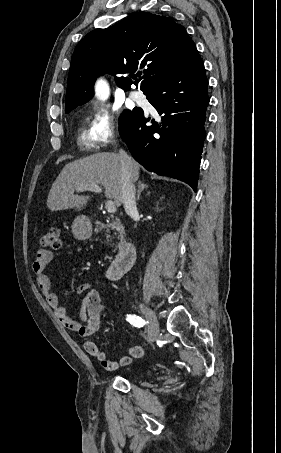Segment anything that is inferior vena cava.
Returning <instances> with one entry per match:
<instances>
[{
	"label": "inferior vena cava",
	"mask_w": 281,
	"mask_h": 453,
	"mask_svg": "<svg viewBox=\"0 0 281 453\" xmlns=\"http://www.w3.org/2000/svg\"><path fill=\"white\" fill-rule=\"evenodd\" d=\"M119 156L121 158V188H122V202L124 204L125 212L133 216L138 214L136 200H135V186L130 178L128 162L130 160L127 152L120 148Z\"/></svg>",
	"instance_id": "obj_1"
}]
</instances>
